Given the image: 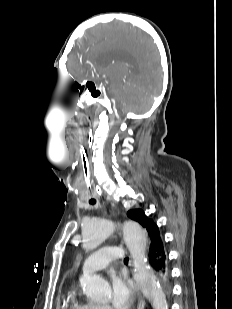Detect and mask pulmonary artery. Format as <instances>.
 Instances as JSON below:
<instances>
[{"mask_svg":"<svg viewBox=\"0 0 232 309\" xmlns=\"http://www.w3.org/2000/svg\"><path fill=\"white\" fill-rule=\"evenodd\" d=\"M124 257V252L116 246L104 247L86 258L82 264L84 273H92L104 268L108 262L112 260H121Z\"/></svg>","mask_w":232,"mask_h":309,"instance_id":"e3ab8cb5","label":"pulmonary artery"}]
</instances>
